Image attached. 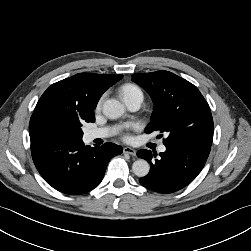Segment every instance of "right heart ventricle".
Returning <instances> with one entry per match:
<instances>
[{
    "mask_svg": "<svg viewBox=\"0 0 251 251\" xmlns=\"http://www.w3.org/2000/svg\"><path fill=\"white\" fill-rule=\"evenodd\" d=\"M120 93L125 102L135 98H141L143 100V92L141 88L132 83L124 84L120 88Z\"/></svg>",
    "mask_w": 251,
    "mask_h": 251,
    "instance_id": "right-heart-ventricle-1",
    "label": "right heart ventricle"
}]
</instances>
